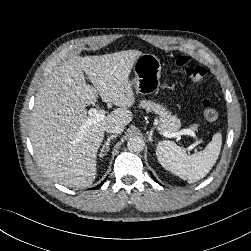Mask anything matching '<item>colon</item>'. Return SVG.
I'll return each mask as SVG.
<instances>
[{
	"mask_svg": "<svg viewBox=\"0 0 251 251\" xmlns=\"http://www.w3.org/2000/svg\"><path fill=\"white\" fill-rule=\"evenodd\" d=\"M177 65L181 68L185 76L194 83H199L205 76V69L202 66L191 64L187 57L180 56ZM203 116L207 122H215L219 117L218 110L209 99L202 101Z\"/></svg>",
	"mask_w": 251,
	"mask_h": 251,
	"instance_id": "5ec220e1",
	"label": "colon"
}]
</instances>
